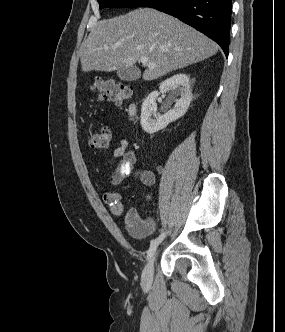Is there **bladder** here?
Listing matches in <instances>:
<instances>
[{"instance_id":"1","label":"bladder","mask_w":285,"mask_h":332,"mask_svg":"<svg viewBox=\"0 0 285 332\" xmlns=\"http://www.w3.org/2000/svg\"><path fill=\"white\" fill-rule=\"evenodd\" d=\"M127 229L131 235L142 238L152 232L153 225L150 220L137 219L134 222L127 223Z\"/></svg>"}]
</instances>
